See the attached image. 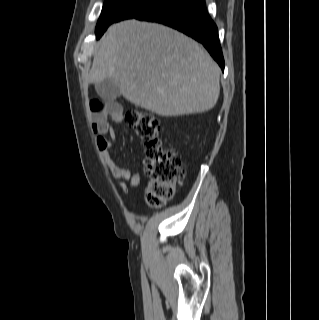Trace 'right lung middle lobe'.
<instances>
[{
    "instance_id": "right-lung-middle-lobe-1",
    "label": "right lung middle lobe",
    "mask_w": 319,
    "mask_h": 320,
    "mask_svg": "<svg viewBox=\"0 0 319 320\" xmlns=\"http://www.w3.org/2000/svg\"><path fill=\"white\" fill-rule=\"evenodd\" d=\"M174 0H105L96 26L97 38L107 27L123 19L136 18L152 9L168 5Z\"/></svg>"
}]
</instances>
